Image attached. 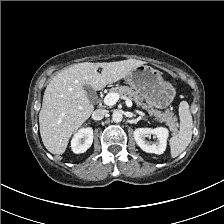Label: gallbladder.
<instances>
[{
    "instance_id": "1",
    "label": "gallbladder",
    "mask_w": 224,
    "mask_h": 224,
    "mask_svg": "<svg viewBox=\"0 0 224 224\" xmlns=\"http://www.w3.org/2000/svg\"><path fill=\"white\" fill-rule=\"evenodd\" d=\"M84 90L89 99H92L95 96V91L89 85H85Z\"/></svg>"
}]
</instances>
